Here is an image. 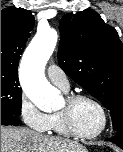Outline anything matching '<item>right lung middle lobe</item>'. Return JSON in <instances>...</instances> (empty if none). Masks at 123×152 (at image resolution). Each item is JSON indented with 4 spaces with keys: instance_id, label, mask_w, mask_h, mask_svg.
Segmentation results:
<instances>
[{
    "instance_id": "obj_1",
    "label": "right lung middle lobe",
    "mask_w": 123,
    "mask_h": 152,
    "mask_svg": "<svg viewBox=\"0 0 123 152\" xmlns=\"http://www.w3.org/2000/svg\"><path fill=\"white\" fill-rule=\"evenodd\" d=\"M22 90L17 72L1 71V114L21 115Z\"/></svg>"
}]
</instances>
